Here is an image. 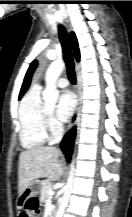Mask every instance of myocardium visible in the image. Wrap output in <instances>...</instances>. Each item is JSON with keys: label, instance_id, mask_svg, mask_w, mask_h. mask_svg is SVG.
Here are the masks:
<instances>
[{"label": "myocardium", "instance_id": "obj_1", "mask_svg": "<svg viewBox=\"0 0 132 217\" xmlns=\"http://www.w3.org/2000/svg\"><path fill=\"white\" fill-rule=\"evenodd\" d=\"M50 112L47 110V108L44 109V115L45 117L49 116Z\"/></svg>", "mask_w": 132, "mask_h": 217}]
</instances>
